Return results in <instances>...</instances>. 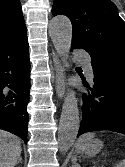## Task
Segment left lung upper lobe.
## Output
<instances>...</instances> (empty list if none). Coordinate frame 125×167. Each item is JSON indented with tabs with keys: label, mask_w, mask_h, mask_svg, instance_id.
<instances>
[{
	"label": "left lung upper lobe",
	"mask_w": 125,
	"mask_h": 167,
	"mask_svg": "<svg viewBox=\"0 0 125 167\" xmlns=\"http://www.w3.org/2000/svg\"><path fill=\"white\" fill-rule=\"evenodd\" d=\"M52 14L71 20V45L92 59L111 58L125 66V24L111 0H54Z\"/></svg>",
	"instance_id": "1"
}]
</instances>
